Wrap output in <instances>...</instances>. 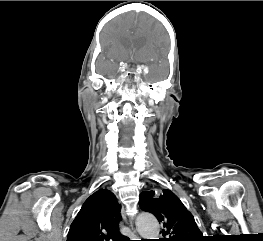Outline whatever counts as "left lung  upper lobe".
I'll use <instances>...</instances> for the list:
<instances>
[{
    "instance_id": "5c2ea615",
    "label": "left lung upper lobe",
    "mask_w": 263,
    "mask_h": 241,
    "mask_svg": "<svg viewBox=\"0 0 263 241\" xmlns=\"http://www.w3.org/2000/svg\"><path fill=\"white\" fill-rule=\"evenodd\" d=\"M140 208L156 216L162 224V241H204L192 214L170 190L142 192Z\"/></svg>"
}]
</instances>
